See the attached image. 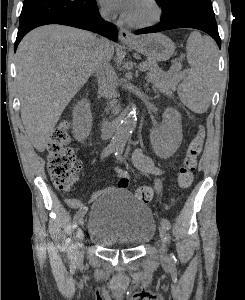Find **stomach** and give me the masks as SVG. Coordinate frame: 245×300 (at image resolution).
<instances>
[{
  "label": "stomach",
  "instance_id": "obj_1",
  "mask_svg": "<svg viewBox=\"0 0 245 300\" xmlns=\"http://www.w3.org/2000/svg\"><path fill=\"white\" fill-rule=\"evenodd\" d=\"M127 45L153 61H166L175 51V45L171 39L161 33L140 36L135 42L127 43Z\"/></svg>",
  "mask_w": 245,
  "mask_h": 300
}]
</instances>
